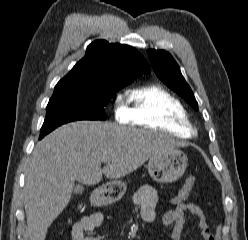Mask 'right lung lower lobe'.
<instances>
[{
  "instance_id": "right-lung-lower-lobe-1",
  "label": "right lung lower lobe",
  "mask_w": 248,
  "mask_h": 240,
  "mask_svg": "<svg viewBox=\"0 0 248 240\" xmlns=\"http://www.w3.org/2000/svg\"><path fill=\"white\" fill-rule=\"evenodd\" d=\"M45 135H47V134H40L39 139H42Z\"/></svg>"
}]
</instances>
